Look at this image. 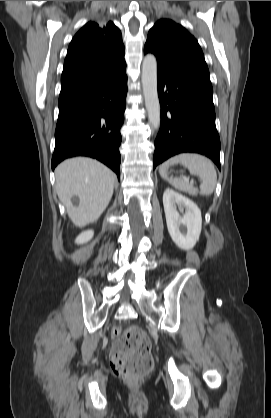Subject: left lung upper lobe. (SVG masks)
<instances>
[{
	"instance_id": "5c2ea615",
	"label": "left lung upper lobe",
	"mask_w": 271,
	"mask_h": 418,
	"mask_svg": "<svg viewBox=\"0 0 271 418\" xmlns=\"http://www.w3.org/2000/svg\"><path fill=\"white\" fill-rule=\"evenodd\" d=\"M145 47L161 59L209 77V70L197 40L172 20L157 21L148 33Z\"/></svg>"
}]
</instances>
